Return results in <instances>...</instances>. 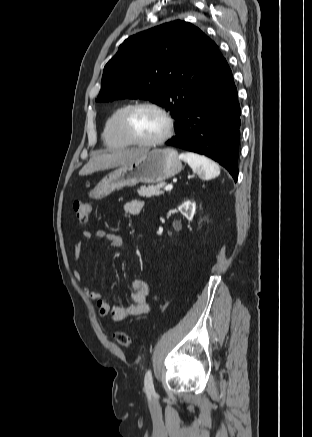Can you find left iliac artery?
Returning a JSON list of instances; mask_svg holds the SVG:
<instances>
[{"label":"left iliac artery","instance_id":"1","mask_svg":"<svg viewBox=\"0 0 312 437\" xmlns=\"http://www.w3.org/2000/svg\"><path fill=\"white\" fill-rule=\"evenodd\" d=\"M144 386L147 395H153L155 393L151 370H148L145 374Z\"/></svg>","mask_w":312,"mask_h":437}]
</instances>
